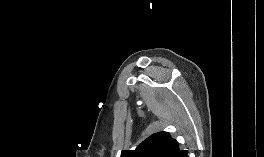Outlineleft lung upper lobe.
Returning a JSON list of instances; mask_svg holds the SVG:
<instances>
[{"label": "left lung upper lobe", "instance_id": "5c2ea615", "mask_svg": "<svg viewBox=\"0 0 264 157\" xmlns=\"http://www.w3.org/2000/svg\"><path fill=\"white\" fill-rule=\"evenodd\" d=\"M120 157H187V151L167 132H158L137 146L135 150H123Z\"/></svg>", "mask_w": 264, "mask_h": 157}]
</instances>
